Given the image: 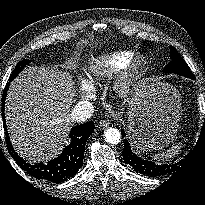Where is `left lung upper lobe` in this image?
Returning <instances> with one entry per match:
<instances>
[{
    "mask_svg": "<svg viewBox=\"0 0 205 205\" xmlns=\"http://www.w3.org/2000/svg\"><path fill=\"white\" fill-rule=\"evenodd\" d=\"M170 56L172 61L164 68V72L176 73L188 78L194 77L186 62L173 46L170 47Z\"/></svg>",
    "mask_w": 205,
    "mask_h": 205,
    "instance_id": "left-lung-upper-lobe-1",
    "label": "left lung upper lobe"
}]
</instances>
